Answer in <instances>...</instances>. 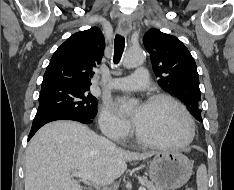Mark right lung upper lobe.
Returning a JSON list of instances; mask_svg holds the SVG:
<instances>
[{
    "instance_id": "right-lung-upper-lobe-1",
    "label": "right lung upper lobe",
    "mask_w": 234,
    "mask_h": 190,
    "mask_svg": "<svg viewBox=\"0 0 234 190\" xmlns=\"http://www.w3.org/2000/svg\"><path fill=\"white\" fill-rule=\"evenodd\" d=\"M104 48V36L98 27L71 35L53 54L42 85L66 84L90 88V78L101 62Z\"/></svg>"
}]
</instances>
